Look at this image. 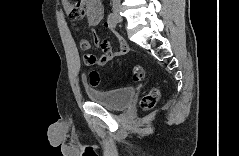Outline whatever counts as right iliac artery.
Returning a JSON list of instances; mask_svg holds the SVG:
<instances>
[{"mask_svg":"<svg viewBox=\"0 0 239 156\" xmlns=\"http://www.w3.org/2000/svg\"><path fill=\"white\" fill-rule=\"evenodd\" d=\"M107 21H108L111 28H116L117 20H116L114 14L110 13L108 15Z\"/></svg>","mask_w":239,"mask_h":156,"instance_id":"right-iliac-artery-1","label":"right iliac artery"}]
</instances>
